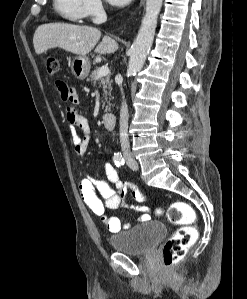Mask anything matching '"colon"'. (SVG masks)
<instances>
[{
    "label": "colon",
    "instance_id": "colon-1",
    "mask_svg": "<svg viewBox=\"0 0 247 299\" xmlns=\"http://www.w3.org/2000/svg\"><path fill=\"white\" fill-rule=\"evenodd\" d=\"M45 65L51 75L59 71V61L54 54L46 56ZM130 188L136 195H143L135 185L130 184ZM157 213H161V210H157ZM166 217L171 224L178 226L165 242L162 250L164 266L170 268L185 256L188 248L195 242L197 229L193 226L195 213L184 202L172 203L166 210Z\"/></svg>",
    "mask_w": 247,
    "mask_h": 299
}]
</instances>
